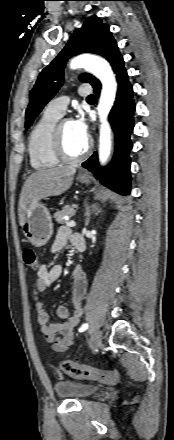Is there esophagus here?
Returning a JSON list of instances; mask_svg holds the SVG:
<instances>
[{"label": "esophagus", "mask_w": 174, "mask_h": 440, "mask_svg": "<svg viewBox=\"0 0 174 440\" xmlns=\"http://www.w3.org/2000/svg\"><path fill=\"white\" fill-rule=\"evenodd\" d=\"M80 173L83 174V175L87 174V172H85V171H81Z\"/></svg>", "instance_id": "esophagus-1"}]
</instances>
